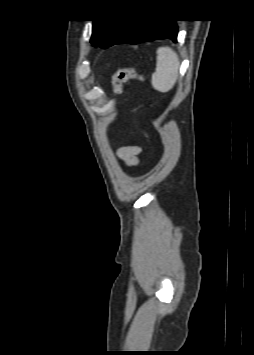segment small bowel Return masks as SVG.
<instances>
[{
  "mask_svg": "<svg viewBox=\"0 0 254 355\" xmlns=\"http://www.w3.org/2000/svg\"><path fill=\"white\" fill-rule=\"evenodd\" d=\"M141 151L139 146H124L119 149L118 156L126 165L135 166L138 164Z\"/></svg>",
  "mask_w": 254,
  "mask_h": 355,
  "instance_id": "obj_1",
  "label": "small bowel"
}]
</instances>
